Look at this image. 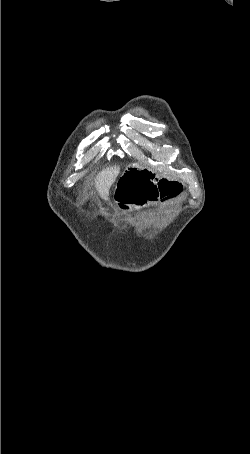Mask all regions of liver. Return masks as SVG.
<instances>
[{
	"label": "liver",
	"instance_id": "6515ba94",
	"mask_svg": "<svg viewBox=\"0 0 250 454\" xmlns=\"http://www.w3.org/2000/svg\"><path fill=\"white\" fill-rule=\"evenodd\" d=\"M119 171V167H107L97 175L95 187L102 198L106 199L108 197L109 189L115 182Z\"/></svg>",
	"mask_w": 250,
	"mask_h": 454
}]
</instances>
